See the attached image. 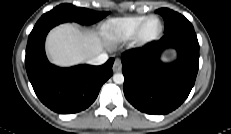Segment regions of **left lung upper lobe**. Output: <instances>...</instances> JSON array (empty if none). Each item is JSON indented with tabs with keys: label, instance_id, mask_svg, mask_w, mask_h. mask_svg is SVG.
I'll use <instances>...</instances> for the list:
<instances>
[{
	"label": "left lung upper lobe",
	"instance_id": "obj_1",
	"mask_svg": "<svg viewBox=\"0 0 231 134\" xmlns=\"http://www.w3.org/2000/svg\"><path fill=\"white\" fill-rule=\"evenodd\" d=\"M165 20L164 35L186 28H193L192 24L181 14L167 8L156 10Z\"/></svg>",
	"mask_w": 231,
	"mask_h": 134
}]
</instances>
